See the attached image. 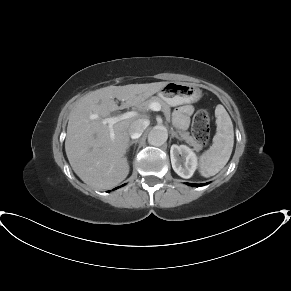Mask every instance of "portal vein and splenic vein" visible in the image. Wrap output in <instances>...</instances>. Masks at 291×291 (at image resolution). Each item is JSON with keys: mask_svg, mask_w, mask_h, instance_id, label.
<instances>
[{"mask_svg": "<svg viewBox=\"0 0 291 291\" xmlns=\"http://www.w3.org/2000/svg\"><path fill=\"white\" fill-rule=\"evenodd\" d=\"M149 108L151 110H153V111H160L161 110V105L159 103H157V102H153V103L150 104ZM137 115L138 114L135 111L126 112V113L120 114L118 116L105 118V119L102 120V123L103 124H107L109 126L110 137L113 140L114 137H115V134H114V131H113V125L118 123V122H120V121H122V120L129 119V118L135 117Z\"/></svg>", "mask_w": 291, "mask_h": 291, "instance_id": "portal-vein-and-splenic-vein-1", "label": "portal vein and splenic vein"}]
</instances>
